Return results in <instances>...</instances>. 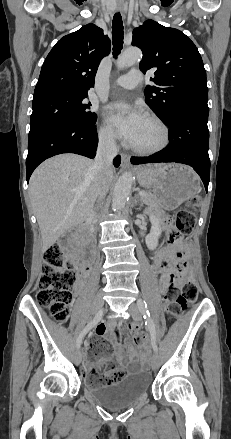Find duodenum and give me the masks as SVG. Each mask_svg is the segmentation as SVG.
Listing matches in <instances>:
<instances>
[{
	"label": "duodenum",
	"instance_id": "410a0bca",
	"mask_svg": "<svg viewBox=\"0 0 231 439\" xmlns=\"http://www.w3.org/2000/svg\"><path fill=\"white\" fill-rule=\"evenodd\" d=\"M87 229H88L87 226H81V227L74 230V232L72 233V236H79V235L85 233L87 231ZM83 267H85L87 270H89L90 269L89 262L87 264H84Z\"/></svg>",
	"mask_w": 231,
	"mask_h": 439
}]
</instances>
